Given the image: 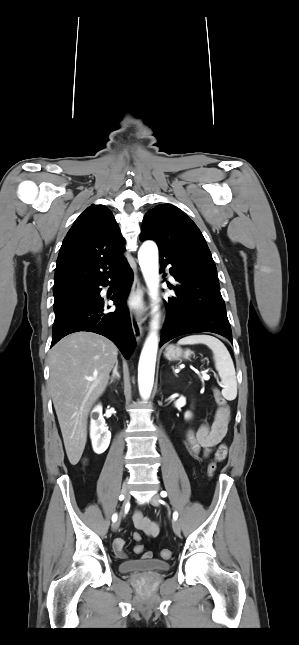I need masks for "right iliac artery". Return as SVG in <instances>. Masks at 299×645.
<instances>
[{
  "instance_id": "right-iliac-artery-1",
  "label": "right iliac artery",
  "mask_w": 299,
  "mask_h": 645,
  "mask_svg": "<svg viewBox=\"0 0 299 645\" xmlns=\"http://www.w3.org/2000/svg\"><path fill=\"white\" fill-rule=\"evenodd\" d=\"M123 499H124V496H123V495H120V496H119V500H121V501H122ZM116 520H117V514H114V515L112 516V521L114 522V521H116Z\"/></svg>"
}]
</instances>
